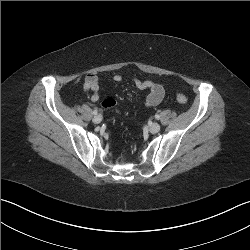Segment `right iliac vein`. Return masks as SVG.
Returning <instances> with one entry per match:
<instances>
[{"mask_svg":"<svg viewBox=\"0 0 250 250\" xmlns=\"http://www.w3.org/2000/svg\"><path fill=\"white\" fill-rule=\"evenodd\" d=\"M101 121H102V116H101V115H95V116L93 117V122H94V123L98 124V123H100Z\"/></svg>","mask_w":250,"mask_h":250,"instance_id":"1","label":"right iliac vein"}]
</instances>
